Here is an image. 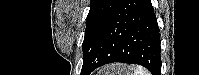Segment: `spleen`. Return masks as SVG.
I'll use <instances>...</instances> for the list:
<instances>
[{
	"instance_id": "1",
	"label": "spleen",
	"mask_w": 199,
	"mask_h": 75,
	"mask_svg": "<svg viewBox=\"0 0 199 75\" xmlns=\"http://www.w3.org/2000/svg\"><path fill=\"white\" fill-rule=\"evenodd\" d=\"M132 69H134V74L133 75H150V72H148L147 70H145L141 66H136V67H134Z\"/></svg>"
}]
</instances>
